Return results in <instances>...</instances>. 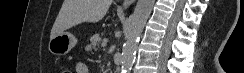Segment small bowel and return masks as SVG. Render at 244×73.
<instances>
[{
    "instance_id": "small-bowel-1",
    "label": "small bowel",
    "mask_w": 244,
    "mask_h": 73,
    "mask_svg": "<svg viewBox=\"0 0 244 73\" xmlns=\"http://www.w3.org/2000/svg\"><path fill=\"white\" fill-rule=\"evenodd\" d=\"M75 72L76 73H88V67L86 66V64L80 62L77 63L75 66Z\"/></svg>"
}]
</instances>
